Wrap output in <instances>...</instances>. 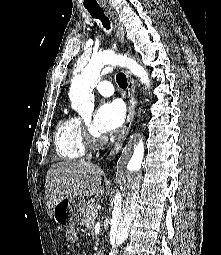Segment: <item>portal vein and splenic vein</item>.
I'll use <instances>...</instances> for the list:
<instances>
[{"label": "portal vein and splenic vein", "mask_w": 221, "mask_h": 255, "mask_svg": "<svg viewBox=\"0 0 221 255\" xmlns=\"http://www.w3.org/2000/svg\"><path fill=\"white\" fill-rule=\"evenodd\" d=\"M95 215H97V212H96V211L93 213V216H95Z\"/></svg>", "instance_id": "portal-vein-and-splenic-vein-1"}]
</instances>
